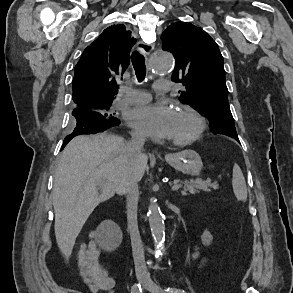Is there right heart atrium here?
<instances>
[{
  "label": "right heart atrium",
  "mask_w": 293,
  "mask_h": 293,
  "mask_svg": "<svg viewBox=\"0 0 293 293\" xmlns=\"http://www.w3.org/2000/svg\"><path fill=\"white\" fill-rule=\"evenodd\" d=\"M136 136H139V134L135 133Z\"/></svg>",
  "instance_id": "right-heart-atrium-1"
}]
</instances>
